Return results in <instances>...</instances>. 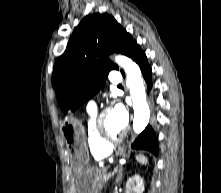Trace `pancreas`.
Returning a JSON list of instances; mask_svg holds the SVG:
<instances>
[{
    "instance_id": "obj_1",
    "label": "pancreas",
    "mask_w": 221,
    "mask_h": 193,
    "mask_svg": "<svg viewBox=\"0 0 221 193\" xmlns=\"http://www.w3.org/2000/svg\"><path fill=\"white\" fill-rule=\"evenodd\" d=\"M106 172H107V168H105V167L99 168V169L96 170V174H95V183H96L95 193L100 192L101 189L103 188V184H104L103 176L106 174Z\"/></svg>"
}]
</instances>
